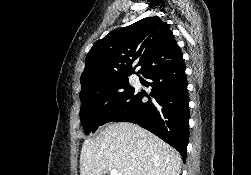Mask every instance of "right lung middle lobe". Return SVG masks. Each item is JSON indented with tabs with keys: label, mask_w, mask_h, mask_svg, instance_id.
<instances>
[{
	"label": "right lung middle lobe",
	"mask_w": 251,
	"mask_h": 175,
	"mask_svg": "<svg viewBox=\"0 0 251 175\" xmlns=\"http://www.w3.org/2000/svg\"><path fill=\"white\" fill-rule=\"evenodd\" d=\"M134 90L128 76L100 86L83 87L80 92V118L87 134L95 132L104 117Z\"/></svg>",
	"instance_id": "right-lung-middle-lobe-1"
}]
</instances>
